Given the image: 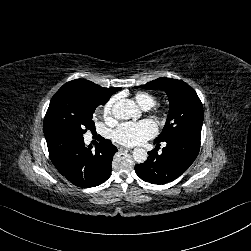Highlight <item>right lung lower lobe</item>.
I'll return each mask as SVG.
<instances>
[{"label":"right lung lower lobe","instance_id":"right-lung-lower-lobe-1","mask_svg":"<svg viewBox=\"0 0 251 251\" xmlns=\"http://www.w3.org/2000/svg\"><path fill=\"white\" fill-rule=\"evenodd\" d=\"M49 156L56 169L73 184L87 188L105 182L111 175V163L117 148L100 137L92 152L83 136L54 130L45 134Z\"/></svg>","mask_w":251,"mask_h":251}]
</instances>
